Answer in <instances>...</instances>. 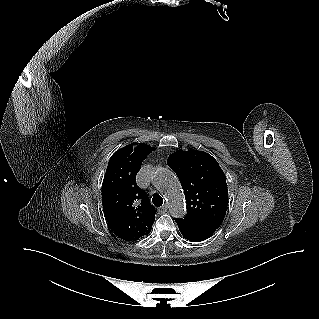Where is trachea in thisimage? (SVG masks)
<instances>
[{
  "mask_svg": "<svg viewBox=\"0 0 319 319\" xmlns=\"http://www.w3.org/2000/svg\"><path fill=\"white\" fill-rule=\"evenodd\" d=\"M152 201L156 207H160L163 204V198L159 194H154Z\"/></svg>",
  "mask_w": 319,
  "mask_h": 319,
  "instance_id": "trachea-1",
  "label": "trachea"
}]
</instances>
